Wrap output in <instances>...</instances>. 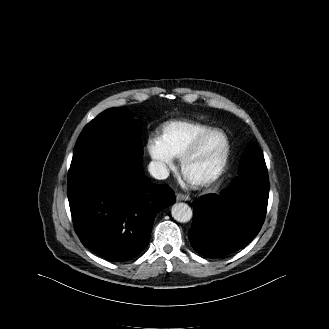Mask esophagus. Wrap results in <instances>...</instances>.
<instances>
[{
    "instance_id": "1",
    "label": "esophagus",
    "mask_w": 329,
    "mask_h": 329,
    "mask_svg": "<svg viewBox=\"0 0 329 329\" xmlns=\"http://www.w3.org/2000/svg\"><path fill=\"white\" fill-rule=\"evenodd\" d=\"M176 199H177V201H188V200H190V197L188 195L179 193L176 195Z\"/></svg>"
}]
</instances>
